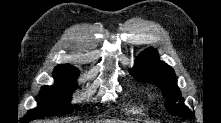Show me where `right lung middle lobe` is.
I'll list each match as a JSON object with an SVG mask.
<instances>
[{"label": "right lung middle lobe", "instance_id": "right-lung-middle-lobe-1", "mask_svg": "<svg viewBox=\"0 0 221 123\" xmlns=\"http://www.w3.org/2000/svg\"><path fill=\"white\" fill-rule=\"evenodd\" d=\"M55 84L44 86L36 109L28 111L26 119H38L71 113L78 105H70L72 91L77 86L75 79L79 71L71 67L58 66L53 72Z\"/></svg>", "mask_w": 221, "mask_h": 123}]
</instances>
